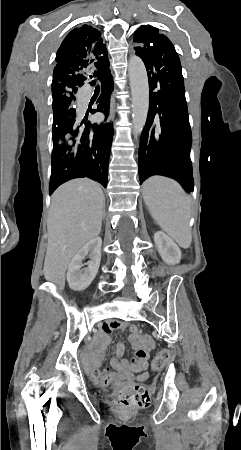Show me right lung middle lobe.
<instances>
[{
  "instance_id": "dd1d6c3e",
  "label": "right lung middle lobe",
  "mask_w": 241,
  "mask_h": 450,
  "mask_svg": "<svg viewBox=\"0 0 241 450\" xmlns=\"http://www.w3.org/2000/svg\"><path fill=\"white\" fill-rule=\"evenodd\" d=\"M76 98L74 96H70L63 100L54 101L52 103L53 108V142L58 143H72L74 138L71 134H59L54 131V124L64 115H70L72 113H76L75 106Z\"/></svg>"
}]
</instances>
